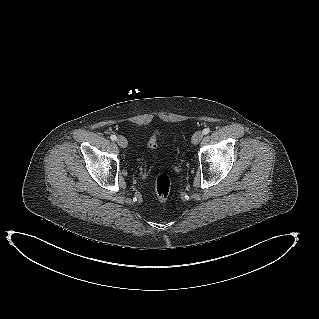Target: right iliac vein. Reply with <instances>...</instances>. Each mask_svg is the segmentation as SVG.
<instances>
[{"mask_svg": "<svg viewBox=\"0 0 319 319\" xmlns=\"http://www.w3.org/2000/svg\"><path fill=\"white\" fill-rule=\"evenodd\" d=\"M117 144L122 147V148H126L128 145L127 139L123 136H119L117 139Z\"/></svg>", "mask_w": 319, "mask_h": 319, "instance_id": "obj_1", "label": "right iliac vein"}]
</instances>
